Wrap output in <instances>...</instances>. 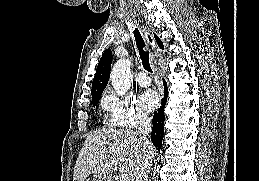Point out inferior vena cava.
<instances>
[{
    "label": "inferior vena cava",
    "mask_w": 259,
    "mask_h": 181,
    "mask_svg": "<svg viewBox=\"0 0 259 181\" xmlns=\"http://www.w3.org/2000/svg\"><path fill=\"white\" fill-rule=\"evenodd\" d=\"M152 131V125L150 119L146 115H142L139 118L138 121V135L139 139L142 142L143 145V152H144V157H143V163L142 167L140 169V172L138 176L136 177V181H147L148 180V174L150 172V157L148 155L149 150L152 147L151 142L149 141L148 137L151 134Z\"/></svg>",
    "instance_id": "1"
}]
</instances>
